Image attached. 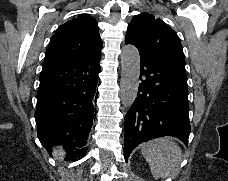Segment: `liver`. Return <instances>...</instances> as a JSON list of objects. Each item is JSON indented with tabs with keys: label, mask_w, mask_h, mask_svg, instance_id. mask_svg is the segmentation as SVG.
<instances>
[{
	"label": "liver",
	"mask_w": 228,
	"mask_h": 181,
	"mask_svg": "<svg viewBox=\"0 0 228 181\" xmlns=\"http://www.w3.org/2000/svg\"><path fill=\"white\" fill-rule=\"evenodd\" d=\"M56 151V149H55ZM57 157H63V151H56Z\"/></svg>",
	"instance_id": "6515ba94"
}]
</instances>
